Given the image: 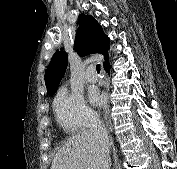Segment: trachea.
<instances>
[{
	"mask_svg": "<svg viewBox=\"0 0 177 169\" xmlns=\"http://www.w3.org/2000/svg\"><path fill=\"white\" fill-rule=\"evenodd\" d=\"M96 70H97L98 73H100V71H101V66H100V64H97V65H96Z\"/></svg>",
	"mask_w": 177,
	"mask_h": 169,
	"instance_id": "obj_1",
	"label": "trachea"
}]
</instances>
